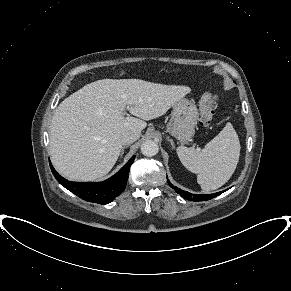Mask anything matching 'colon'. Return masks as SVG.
<instances>
[{"instance_id": "1", "label": "colon", "mask_w": 291, "mask_h": 291, "mask_svg": "<svg viewBox=\"0 0 291 291\" xmlns=\"http://www.w3.org/2000/svg\"><path fill=\"white\" fill-rule=\"evenodd\" d=\"M218 97L209 89H204L199 97L198 107L200 123L203 126L210 125L216 116Z\"/></svg>"}]
</instances>
